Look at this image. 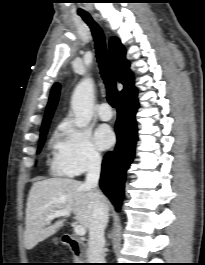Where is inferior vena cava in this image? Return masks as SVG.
<instances>
[{
    "mask_svg": "<svg viewBox=\"0 0 205 265\" xmlns=\"http://www.w3.org/2000/svg\"><path fill=\"white\" fill-rule=\"evenodd\" d=\"M88 172L85 186L96 189L101 170V157L97 153L89 156ZM108 223V208L99 203L97 198L93 203L92 220L89 226L88 260L89 263H104L103 248L105 245L104 231Z\"/></svg>",
    "mask_w": 205,
    "mask_h": 265,
    "instance_id": "602c4592",
    "label": "inferior vena cava"
}]
</instances>
